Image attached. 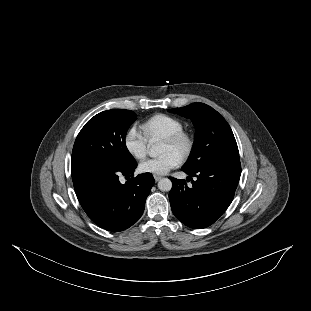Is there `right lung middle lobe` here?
Here are the masks:
<instances>
[{
  "label": "right lung middle lobe",
  "mask_w": 311,
  "mask_h": 311,
  "mask_svg": "<svg viewBox=\"0 0 311 311\" xmlns=\"http://www.w3.org/2000/svg\"><path fill=\"white\" fill-rule=\"evenodd\" d=\"M135 120L136 114L125 109L107 110L92 117L75 140L71 167L87 161L121 167L135 164L125 144L126 132Z\"/></svg>",
  "instance_id": "right-lung-middle-lobe-1"
}]
</instances>
